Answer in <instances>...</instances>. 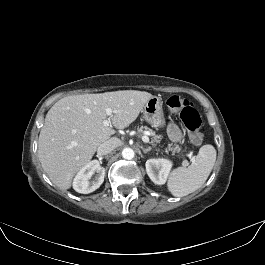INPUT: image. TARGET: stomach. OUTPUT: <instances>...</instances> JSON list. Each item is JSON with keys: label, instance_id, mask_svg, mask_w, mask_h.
I'll return each instance as SVG.
<instances>
[{"label": "stomach", "instance_id": "1", "mask_svg": "<svg viewBox=\"0 0 265 265\" xmlns=\"http://www.w3.org/2000/svg\"><path fill=\"white\" fill-rule=\"evenodd\" d=\"M143 117L145 121L151 124L153 127H164L165 118L162 109V100L160 97H151L142 109Z\"/></svg>", "mask_w": 265, "mask_h": 265}]
</instances>
